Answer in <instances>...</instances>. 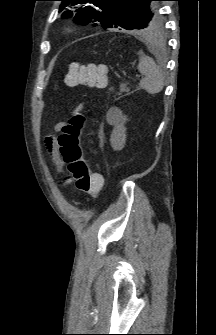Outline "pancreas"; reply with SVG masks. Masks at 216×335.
Listing matches in <instances>:
<instances>
[{
    "label": "pancreas",
    "instance_id": "cf45deb5",
    "mask_svg": "<svg viewBox=\"0 0 216 335\" xmlns=\"http://www.w3.org/2000/svg\"><path fill=\"white\" fill-rule=\"evenodd\" d=\"M123 92H127V95L130 94L129 92V88L127 87V84L126 83H122L120 85V94L123 93Z\"/></svg>",
    "mask_w": 216,
    "mask_h": 335
}]
</instances>
